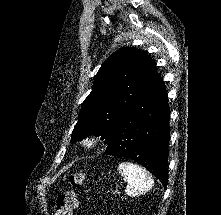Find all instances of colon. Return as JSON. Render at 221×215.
<instances>
[{"label":"colon","mask_w":221,"mask_h":215,"mask_svg":"<svg viewBox=\"0 0 221 215\" xmlns=\"http://www.w3.org/2000/svg\"><path fill=\"white\" fill-rule=\"evenodd\" d=\"M85 174L82 171L73 172L69 177L71 187L77 188L84 183ZM78 205V199L73 189L64 190L57 197L53 215H72Z\"/></svg>","instance_id":"colon-1"}]
</instances>
